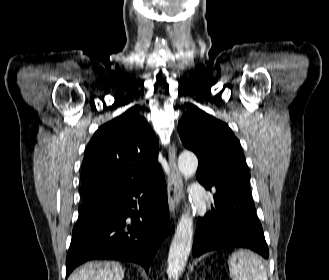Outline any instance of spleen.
<instances>
[{"label":"spleen","instance_id":"spleen-1","mask_svg":"<svg viewBox=\"0 0 329 280\" xmlns=\"http://www.w3.org/2000/svg\"><path fill=\"white\" fill-rule=\"evenodd\" d=\"M228 265L232 280H268L265 265L250 251L232 253Z\"/></svg>","mask_w":329,"mask_h":280}]
</instances>
